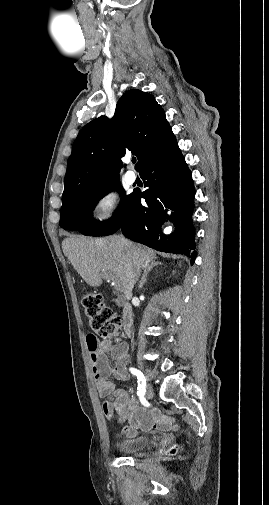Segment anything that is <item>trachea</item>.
Returning <instances> with one entry per match:
<instances>
[{"mask_svg":"<svg viewBox=\"0 0 269 505\" xmlns=\"http://www.w3.org/2000/svg\"><path fill=\"white\" fill-rule=\"evenodd\" d=\"M132 162H133V163H136V158H133V159H132Z\"/></svg>","mask_w":269,"mask_h":505,"instance_id":"trachea-1","label":"trachea"}]
</instances>
